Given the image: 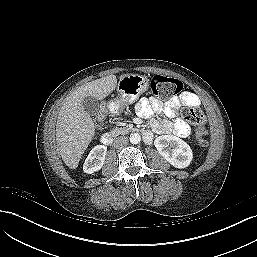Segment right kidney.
<instances>
[{
	"mask_svg": "<svg viewBox=\"0 0 257 257\" xmlns=\"http://www.w3.org/2000/svg\"><path fill=\"white\" fill-rule=\"evenodd\" d=\"M107 147L104 145L95 146L86 158L83 171L87 174H92L100 170L104 164Z\"/></svg>",
	"mask_w": 257,
	"mask_h": 257,
	"instance_id": "1",
	"label": "right kidney"
}]
</instances>
